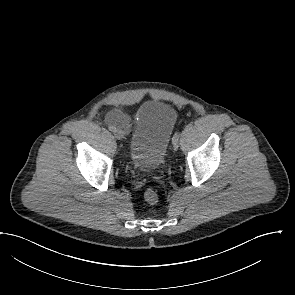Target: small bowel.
Here are the masks:
<instances>
[{
	"label": "small bowel",
	"instance_id": "c3829d8e",
	"mask_svg": "<svg viewBox=\"0 0 295 295\" xmlns=\"http://www.w3.org/2000/svg\"><path fill=\"white\" fill-rule=\"evenodd\" d=\"M109 121L124 128L128 129L130 125L129 117L122 112H114L109 116Z\"/></svg>",
	"mask_w": 295,
	"mask_h": 295
}]
</instances>
